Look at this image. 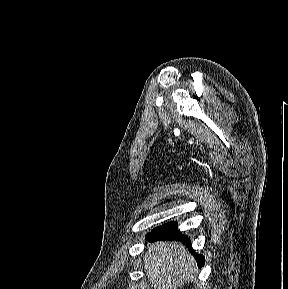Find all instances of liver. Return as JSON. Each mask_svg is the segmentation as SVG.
<instances>
[{"mask_svg":"<svg viewBox=\"0 0 288 289\" xmlns=\"http://www.w3.org/2000/svg\"><path fill=\"white\" fill-rule=\"evenodd\" d=\"M143 261L145 273L154 289H176L196 276L195 258L178 242L152 243Z\"/></svg>","mask_w":288,"mask_h":289,"instance_id":"obj_1","label":"liver"}]
</instances>
